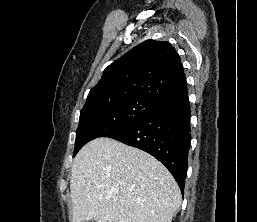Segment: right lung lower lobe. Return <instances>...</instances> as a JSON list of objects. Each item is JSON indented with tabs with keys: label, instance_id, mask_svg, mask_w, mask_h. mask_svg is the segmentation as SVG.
Masks as SVG:
<instances>
[{
	"label": "right lung lower lobe",
	"instance_id": "obj_1",
	"mask_svg": "<svg viewBox=\"0 0 257 222\" xmlns=\"http://www.w3.org/2000/svg\"><path fill=\"white\" fill-rule=\"evenodd\" d=\"M190 112L186 93L160 103L143 118L109 137L154 156L166 166L183 191L191 141Z\"/></svg>",
	"mask_w": 257,
	"mask_h": 222
}]
</instances>
